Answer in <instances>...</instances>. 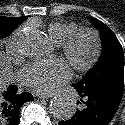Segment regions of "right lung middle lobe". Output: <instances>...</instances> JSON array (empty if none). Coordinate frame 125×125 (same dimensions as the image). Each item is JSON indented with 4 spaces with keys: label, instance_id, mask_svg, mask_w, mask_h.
Returning a JSON list of instances; mask_svg holds the SVG:
<instances>
[{
    "label": "right lung middle lobe",
    "instance_id": "right-lung-middle-lobe-1",
    "mask_svg": "<svg viewBox=\"0 0 125 125\" xmlns=\"http://www.w3.org/2000/svg\"><path fill=\"white\" fill-rule=\"evenodd\" d=\"M23 20H20L18 18L14 17H4L0 16V38H5L8 36L12 30L22 22ZM3 103L2 95L0 94V105Z\"/></svg>",
    "mask_w": 125,
    "mask_h": 125
}]
</instances>
